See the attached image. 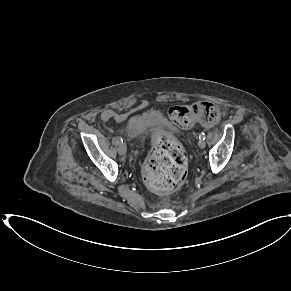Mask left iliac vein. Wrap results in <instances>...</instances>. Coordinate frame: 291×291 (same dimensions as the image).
<instances>
[{
    "instance_id": "obj_1",
    "label": "left iliac vein",
    "mask_w": 291,
    "mask_h": 291,
    "mask_svg": "<svg viewBox=\"0 0 291 291\" xmlns=\"http://www.w3.org/2000/svg\"><path fill=\"white\" fill-rule=\"evenodd\" d=\"M198 146H199L201 149H204L205 146H206V142H205L204 140L201 139V140L198 142Z\"/></svg>"
}]
</instances>
